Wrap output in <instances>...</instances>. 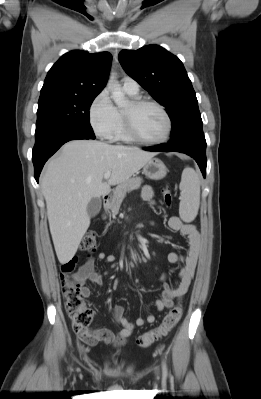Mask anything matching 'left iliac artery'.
Wrapping results in <instances>:
<instances>
[{
  "mask_svg": "<svg viewBox=\"0 0 261 399\" xmlns=\"http://www.w3.org/2000/svg\"><path fill=\"white\" fill-rule=\"evenodd\" d=\"M162 369H163V375L167 376V367H166L165 362H163Z\"/></svg>",
  "mask_w": 261,
  "mask_h": 399,
  "instance_id": "left-iliac-artery-1",
  "label": "left iliac artery"
}]
</instances>
